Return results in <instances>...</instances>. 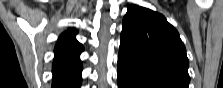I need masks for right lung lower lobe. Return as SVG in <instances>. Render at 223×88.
<instances>
[{"instance_id":"right-lung-lower-lobe-1","label":"right lung lower lobe","mask_w":223,"mask_h":88,"mask_svg":"<svg viewBox=\"0 0 223 88\" xmlns=\"http://www.w3.org/2000/svg\"><path fill=\"white\" fill-rule=\"evenodd\" d=\"M81 85V80L80 81H77V82H64V80H54L53 81V84H52V87L53 88H79Z\"/></svg>"}]
</instances>
